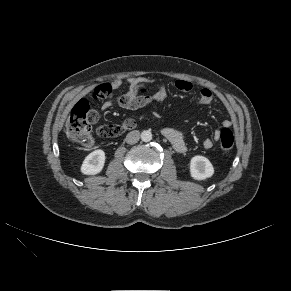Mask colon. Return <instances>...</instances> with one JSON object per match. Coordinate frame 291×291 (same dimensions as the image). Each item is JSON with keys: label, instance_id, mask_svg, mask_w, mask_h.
Instances as JSON below:
<instances>
[{"label": "colon", "instance_id": "5ec220e1", "mask_svg": "<svg viewBox=\"0 0 291 291\" xmlns=\"http://www.w3.org/2000/svg\"><path fill=\"white\" fill-rule=\"evenodd\" d=\"M106 96V89L97 87L94 90L93 97L102 99ZM97 120V113L90 108L87 100L81 99L72 108L69 119L66 123L67 137L76 143L89 146L92 143L91 125ZM135 126L133 119H126L120 125H104L97 129L99 136L103 138L116 137L126 130ZM220 146L224 151H229L234 147L233 132L224 128L220 131Z\"/></svg>", "mask_w": 291, "mask_h": 291}]
</instances>
